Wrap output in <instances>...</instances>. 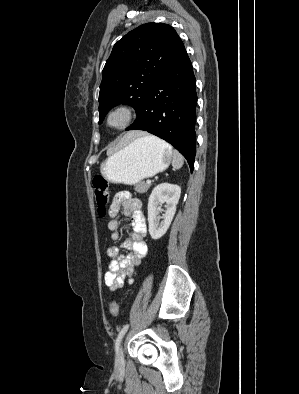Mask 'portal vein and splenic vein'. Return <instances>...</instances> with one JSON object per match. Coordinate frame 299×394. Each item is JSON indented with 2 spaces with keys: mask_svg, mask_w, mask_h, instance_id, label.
<instances>
[{
  "mask_svg": "<svg viewBox=\"0 0 299 394\" xmlns=\"http://www.w3.org/2000/svg\"><path fill=\"white\" fill-rule=\"evenodd\" d=\"M151 182H152L151 179H148V180L146 181L147 184H151Z\"/></svg>",
  "mask_w": 299,
  "mask_h": 394,
  "instance_id": "obj_1",
  "label": "portal vein and splenic vein"
}]
</instances>
